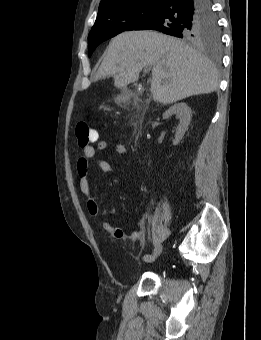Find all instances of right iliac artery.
I'll return each mask as SVG.
<instances>
[{
    "instance_id": "82829eb1",
    "label": "right iliac artery",
    "mask_w": 261,
    "mask_h": 340,
    "mask_svg": "<svg viewBox=\"0 0 261 340\" xmlns=\"http://www.w3.org/2000/svg\"><path fill=\"white\" fill-rule=\"evenodd\" d=\"M143 259H144L145 262H148V263L152 262V260H153L152 255H150V254L144 255Z\"/></svg>"
}]
</instances>
